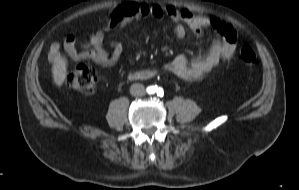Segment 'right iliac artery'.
<instances>
[{
    "label": "right iliac artery",
    "instance_id": "obj_1",
    "mask_svg": "<svg viewBox=\"0 0 299 190\" xmlns=\"http://www.w3.org/2000/svg\"><path fill=\"white\" fill-rule=\"evenodd\" d=\"M151 93H154L156 91V87H150Z\"/></svg>",
    "mask_w": 299,
    "mask_h": 190
}]
</instances>
